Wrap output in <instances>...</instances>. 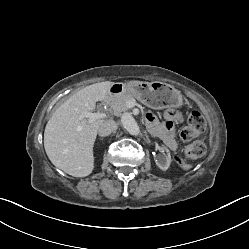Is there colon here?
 <instances>
[{"mask_svg":"<svg viewBox=\"0 0 249 249\" xmlns=\"http://www.w3.org/2000/svg\"><path fill=\"white\" fill-rule=\"evenodd\" d=\"M206 127V121L203 115L197 111H193L188 117V124L181 131V138L184 141L193 140ZM205 153V145L201 141L191 142L185 149V158L187 160H196ZM177 162L184 164V159L176 156Z\"/></svg>","mask_w":249,"mask_h":249,"instance_id":"1","label":"colon"}]
</instances>
